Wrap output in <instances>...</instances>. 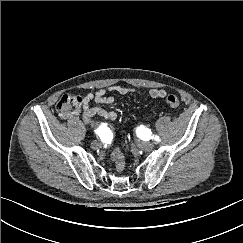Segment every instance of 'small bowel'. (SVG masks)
Segmentation results:
<instances>
[{
  "mask_svg": "<svg viewBox=\"0 0 243 243\" xmlns=\"http://www.w3.org/2000/svg\"><path fill=\"white\" fill-rule=\"evenodd\" d=\"M109 91L119 93L121 95L127 94H139L144 96V93L129 87H123L119 85H114L109 87ZM151 98H163L166 92L163 89H151L147 93ZM95 102L96 106H91L92 102ZM114 98L112 96L106 95L104 89L98 90L95 93H88L83 97L82 108L76 111L72 116H77L82 112L83 121L85 124L92 125V118L95 115L103 117L107 121H114L117 115L114 111L110 110ZM104 127V138L109 140L112 137V131L108 126Z\"/></svg>",
  "mask_w": 243,
  "mask_h": 243,
  "instance_id": "obj_1",
  "label": "small bowel"
}]
</instances>
